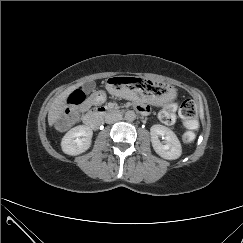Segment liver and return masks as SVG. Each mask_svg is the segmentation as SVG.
<instances>
[{
    "label": "liver",
    "instance_id": "6515ba94",
    "mask_svg": "<svg viewBox=\"0 0 243 243\" xmlns=\"http://www.w3.org/2000/svg\"><path fill=\"white\" fill-rule=\"evenodd\" d=\"M81 84H76L70 86L62 93H60L52 102L49 112H48V124L49 126H53L54 123L61 117L62 113L64 112L66 105V100L68 96L77 89Z\"/></svg>",
    "mask_w": 243,
    "mask_h": 243
}]
</instances>
